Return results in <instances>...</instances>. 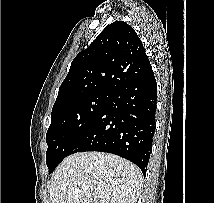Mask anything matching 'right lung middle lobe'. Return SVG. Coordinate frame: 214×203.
<instances>
[{
  "label": "right lung middle lobe",
  "mask_w": 214,
  "mask_h": 203,
  "mask_svg": "<svg viewBox=\"0 0 214 203\" xmlns=\"http://www.w3.org/2000/svg\"><path fill=\"white\" fill-rule=\"evenodd\" d=\"M109 98L108 93H93L52 109L46 134V164L49 173L69 155L75 143L95 121Z\"/></svg>",
  "instance_id": "1"
}]
</instances>
